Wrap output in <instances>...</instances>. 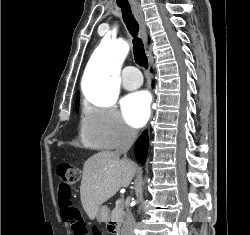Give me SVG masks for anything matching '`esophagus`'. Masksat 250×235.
Segmentation results:
<instances>
[{
    "mask_svg": "<svg viewBox=\"0 0 250 235\" xmlns=\"http://www.w3.org/2000/svg\"><path fill=\"white\" fill-rule=\"evenodd\" d=\"M133 11H134V14H135L138 22H139L142 38L146 42L147 41V28L145 25L144 16H143L141 6L139 4H135L133 6Z\"/></svg>",
    "mask_w": 250,
    "mask_h": 235,
    "instance_id": "34e87169",
    "label": "esophagus"
}]
</instances>
